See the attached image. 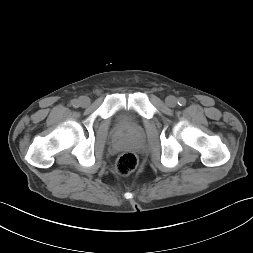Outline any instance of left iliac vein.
<instances>
[{
    "instance_id": "4c4485c4",
    "label": "left iliac vein",
    "mask_w": 253,
    "mask_h": 253,
    "mask_svg": "<svg viewBox=\"0 0 253 253\" xmlns=\"http://www.w3.org/2000/svg\"><path fill=\"white\" fill-rule=\"evenodd\" d=\"M165 103L167 106L169 107H175L176 104H177V99L174 97V96H168L166 99H165Z\"/></svg>"
}]
</instances>
